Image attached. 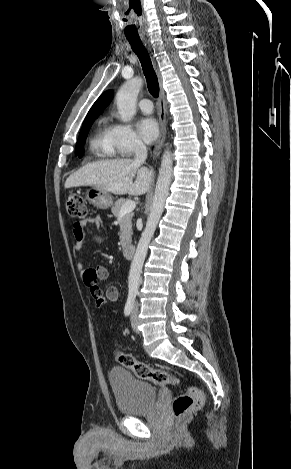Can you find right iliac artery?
Listing matches in <instances>:
<instances>
[{
    "mask_svg": "<svg viewBox=\"0 0 291 469\" xmlns=\"http://www.w3.org/2000/svg\"><path fill=\"white\" fill-rule=\"evenodd\" d=\"M134 301H135V295H129L128 299H127V302L125 304V308H124L125 316H129L130 313L132 312Z\"/></svg>",
    "mask_w": 291,
    "mask_h": 469,
    "instance_id": "right-iliac-artery-1",
    "label": "right iliac artery"
}]
</instances>
